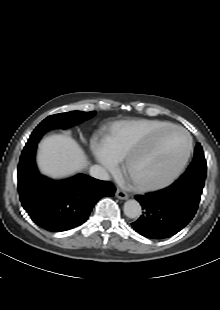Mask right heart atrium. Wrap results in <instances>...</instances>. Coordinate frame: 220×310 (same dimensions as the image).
Returning a JSON list of instances; mask_svg holds the SVG:
<instances>
[{
    "label": "right heart atrium",
    "mask_w": 220,
    "mask_h": 310,
    "mask_svg": "<svg viewBox=\"0 0 220 310\" xmlns=\"http://www.w3.org/2000/svg\"><path fill=\"white\" fill-rule=\"evenodd\" d=\"M96 159L111 173L117 171V162L112 160L102 149L101 144L95 150Z\"/></svg>",
    "instance_id": "obj_1"
}]
</instances>
